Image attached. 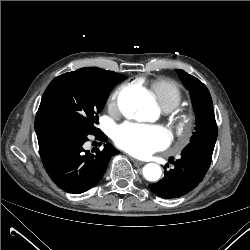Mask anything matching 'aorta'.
<instances>
[{"label": "aorta", "mask_w": 250, "mask_h": 250, "mask_svg": "<svg viewBox=\"0 0 250 250\" xmlns=\"http://www.w3.org/2000/svg\"><path fill=\"white\" fill-rule=\"evenodd\" d=\"M149 93L139 86L126 88L119 97V108L129 118L150 120L155 115V108L147 103ZM161 168L155 163H149L143 168V175L148 181H157L161 177Z\"/></svg>", "instance_id": "1"}]
</instances>
